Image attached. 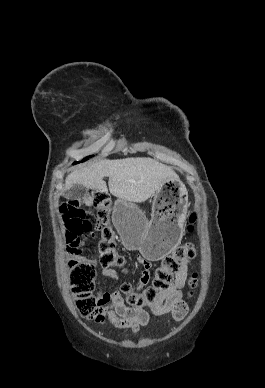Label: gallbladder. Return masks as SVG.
<instances>
[{
	"mask_svg": "<svg viewBox=\"0 0 265 388\" xmlns=\"http://www.w3.org/2000/svg\"><path fill=\"white\" fill-rule=\"evenodd\" d=\"M84 194H86L85 186H82V184H74V186L66 192L65 198L66 200H79Z\"/></svg>",
	"mask_w": 265,
	"mask_h": 388,
	"instance_id": "gallbladder-1",
	"label": "gallbladder"
}]
</instances>
